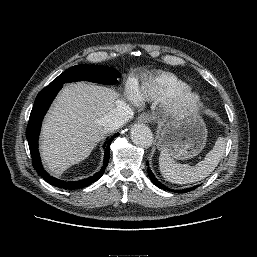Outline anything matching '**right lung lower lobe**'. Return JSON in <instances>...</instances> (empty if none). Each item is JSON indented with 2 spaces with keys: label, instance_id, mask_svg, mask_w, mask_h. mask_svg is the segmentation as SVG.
I'll use <instances>...</instances> for the list:
<instances>
[{
  "label": "right lung lower lobe",
  "instance_id": "right-lung-lower-lobe-1",
  "mask_svg": "<svg viewBox=\"0 0 257 257\" xmlns=\"http://www.w3.org/2000/svg\"><path fill=\"white\" fill-rule=\"evenodd\" d=\"M62 88V85L55 86H47L45 87L36 97L34 106L32 108L29 123L26 130V137L28 140L31 156H32V164L37 173L45 179L49 184L64 188V189H78L82 187H86L95 181H97L105 172V169L108 165L110 158V144L115 137L119 135V133L114 134L110 139H108L104 145L105 153H104V163L99 172L94 174L93 176L82 179L79 181H61L50 176L41 165V160L38 151V137L40 133V128L42 124L43 117L47 112L51 102L53 101L56 94Z\"/></svg>",
  "mask_w": 257,
  "mask_h": 257
}]
</instances>
